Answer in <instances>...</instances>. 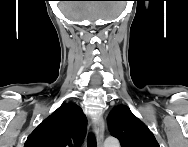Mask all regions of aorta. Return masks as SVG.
<instances>
[{
    "instance_id": "aorta-1",
    "label": "aorta",
    "mask_w": 188,
    "mask_h": 147,
    "mask_svg": "<svg viewBox=\"0 0 188 147\" xmlns=\"http://www.w3.org/2000/svg\"><path fill=\"white\" fill-rule=\"evenodd\" d=\"M119 145V141L114 137H108L104 142L105 147H119Z\"/></svg>"
}]
</instances>
